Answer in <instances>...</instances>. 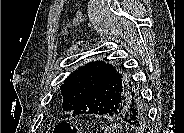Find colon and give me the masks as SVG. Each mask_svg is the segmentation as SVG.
<instances>
[{
	"label": "colon",
	"mask_w": 184,
	"mask_h": 133,
	"mask_svg": "<svg viewBox=\"0 0 184 133\" xmlns=\"http://www.w3.org/2000/svg\"><path fill=\"white\" fill-rule=\"evenodd\" d=\"M79 129L68 122H61L54 128V133H79Z\"/></svg>",
	"instance_id": "colon-1"
}]
</instances>
